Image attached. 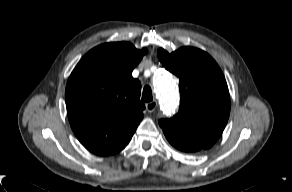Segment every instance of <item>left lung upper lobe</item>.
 I'll return each instance as SVG.
<instances>
[{
  "label": "left lung upper lobe",
  "instance_id": "5c2ea615",
  "mask_svg": "<svg viewBox=\"0 0 292 192\" xmlns=\"http://www.w3.org/2000/svg\"><path fill=\"white\" fill-rule=\"evenodd\" d=\"M165 68L179 77L180 108L159 120L166 138L198 149H209L221 136L230 114V95L214 59L194 47L157 52Z\"/></svg>",
  "mask_w": 292,
  "mask_h": 192
}]
</instances>
